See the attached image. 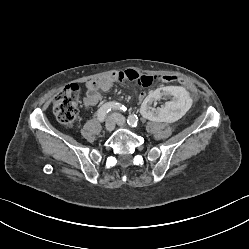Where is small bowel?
I'll return each mask as SVG.
<instances>
[{
    "label": "small bowel",
    "instance_id": "1",
    "mask_svg": "<svg viewBox=\"0 0 249 249\" xmlns=\"http://www.w3.org/2000/svg\"><path fill=\"white\" fill-rule=\"evenodd\" d=\"M140 78L138 71H113L97 80L86 83V94L83 99L84 106L89 109L94 107L101 99L103 92L109 91L116 82L136 81Z\"/></svg>",
    "mask_w": 249,
    "mask_h": 249
}]
</instances>
